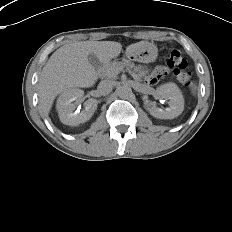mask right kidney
I'll return each instance as SVG.
<instances>
[{"instance_id":"obj_1","label":"right kidney","mask_w":232,"mask_h":232,"mask_svg":"<svg viewBox=\"0 0 232 232\" xmlns=\"http://www.w3.org/2000/svg\"><path fill=\"white\" fill-rule=\"evenodd\" d=\"M84 91L81 89L73 88L64 90L57 99L56 109L60 121L69 126H77L81 123L88 121L97 109V100L94 98L88 99L85 103V109L75 110L76 103L73 101L81 102Z\"/></svg>"}]
</instances>
